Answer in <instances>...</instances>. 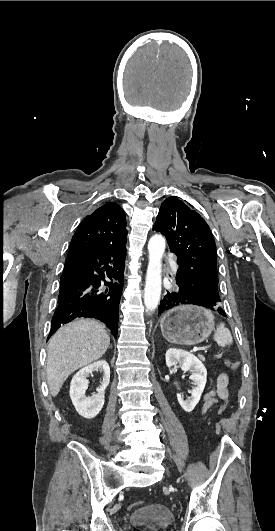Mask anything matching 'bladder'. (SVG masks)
Returning a JSON list of instances; mask_svg holds the SVG:
<instances>
[{
	"label": "bladder",
	"mask_w": 275,
	"mask_h": 531,
	"mask_svg": "<svg viewBox=\"0 0 275 531\" xmlns=\"http://www.w3.org/2000/svg\"><path fill=\"white\" fill-rule=\"evenodd\" d=\"M130 522L135 531H159V528L174 525L175 517L166 504L151 503L135 509Z\"/></svg>",
	"instance_id": "obj_1"
}]
</instances>
